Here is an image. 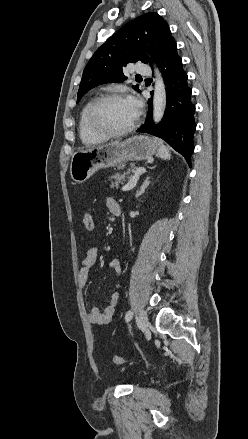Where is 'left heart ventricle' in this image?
<instances>
[{"label":"left heart ventricle","mask_w":248,"mask_h":439,"mask_svg":"<svg viewBox=\"0 0 248 439\" xmlns=\"http://www.w3.org/2000/svg\"><path fill=\"white\" fill-rule=\"evenodd\" d=\"M136 110L128 99L113 100L104 104L98 112L99 122L111 130L127 128L136 118Z\"/></svg>","instance_id":"b2bd125f"}]
</instances>
